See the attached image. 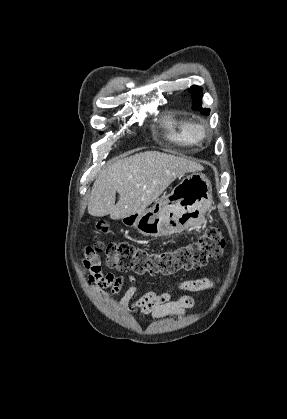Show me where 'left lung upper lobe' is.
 <instances>
[{"mask_svg":"<svg viewBox=\"0 0 287 419\" xmlns=\"http://www.w3.org/2000/svg\"><path fill=\"white\" fill-rule=\"evenodd\" d=\"M191 97L193 99L192 108L194 110H199L203 115H209V110L201 107V98L203 96L202 89L199 86H191L189 89Z\"/></svg>","mask_w":287,"mask_h":419,"instance_id":"obj_1","label":"left lung upper lobe"}]
</instances>
